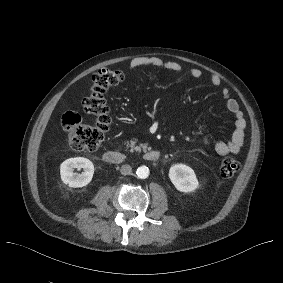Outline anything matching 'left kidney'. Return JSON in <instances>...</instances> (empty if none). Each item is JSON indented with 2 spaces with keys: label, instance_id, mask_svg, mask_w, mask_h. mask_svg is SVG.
I'll use <instances>...</instances> for the list:
<instances>
[{
  "label": "left kidney",
  "instance_id": "5707ae66",
  "mask_svg": "<svg viewBox=\"0 0 283 283\" xmlns=\"http://www.w3.org/2000/svg\"><path fill=\"white\" fill-rule=\"evenodd\" d=\"M169 178L175 188L184 193L196 190L199 185L194 170L185 164H175L171 166Z\"/></svg>",
  "mask_w": 283,
  "mask_h": 283
}]
</instances>
